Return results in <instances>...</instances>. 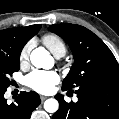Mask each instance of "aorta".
<instances>
[{
    "label": "aorta",
    "mask_w": 119,
    "mask_h": 119,
    "mask_svg": "<svg viewBox=\"0 0 119 119\" xmlns=\"http://www.w3.org/2000/svg\"><path fill=\"white\" fill-rule=\"evenodd\" d=\"M31 63L37 68L49 69L53 66V58L49 52L42 48H36L30 55ZM59 103L56 99L50 98L44 102V109L49 113H54L58 110Z\"/></svg>",
    "instance_id": "obj_1"
}]
</instances>
